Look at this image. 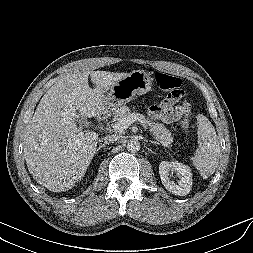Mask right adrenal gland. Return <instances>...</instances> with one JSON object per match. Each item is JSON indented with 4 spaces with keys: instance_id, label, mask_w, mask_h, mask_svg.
I'll list each match as a JSON object with an SVG mask.
<instances>
[{
    "instance_id": "1",
    "label": "right adrenal gland",
    "mask_w": 253,
    "mask_h": 253,
    "mask_svg": "<svg viewBox=\"0 0 253 253\" xmlns=\"http://www.w3.org/2000/svg\"><path fill=\"white\" fill-rule=\"evenodd\" d=\"M105 145H100L98 148H97V152L102 148L104 147Z\"/></svg>"
}]
</instances>
